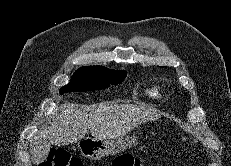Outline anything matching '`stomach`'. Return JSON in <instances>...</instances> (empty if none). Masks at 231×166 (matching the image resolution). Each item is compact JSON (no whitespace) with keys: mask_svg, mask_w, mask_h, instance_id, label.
<instances>
[{"mask_svg":"<svg viewBox=\"0 0 231 166\" xmlns=\"http://www.w3.org/2000/svg\"><path fill=\"white\" fill-rule=\"evenodd\" d=\"M137 137L127 136L116 140H96L91 139L90 145L86 141H81L78 144V149L81 154L86 157L98 158L105 154H115L123 151L128 146L136 145Z\"/></svg>","mask_w":231,"mask_h":166,"instance_id":"0dacf381","label":"stomach"}]
</instances>
